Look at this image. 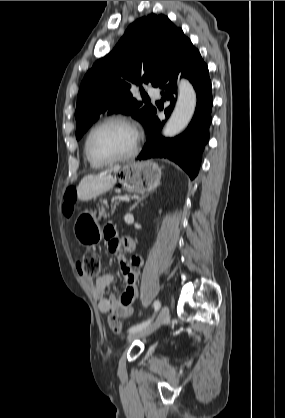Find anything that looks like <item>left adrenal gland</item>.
Here are the masks:
<instances>
[{
    "instance_id": "1",
    "label": "left adrenal gland",
    "mask_w": 285,
    "mask_h": 418,
    "mask_svg": "<svg viewBox=\"0 0 285 418\" xmlns=\"http://www.w3.org/2000/svg\"><path fill=\"white\" fill-rule=\"evenodd\" d=\"M154 191V190H153ZM153 191H148V193L146 195H143L141 198L137 199L136 202L134 203V205H132V207L130 208V211H132L133 209H135V207L142 202L145 198L148 197L149 193H152Z\"/></svg>"
}]
</instances>
